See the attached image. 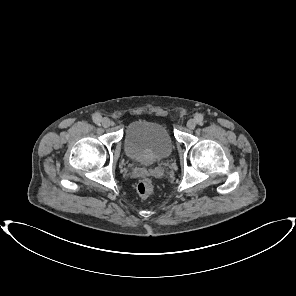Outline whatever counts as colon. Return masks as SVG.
Wrapping results in <instances>:
<instances>
[{"instance_id": "colon-1", "label": "colon", "mask_w": 296, "mask_h": 296, "mask_svg": "<svg viewBox=\"0 0 296 296\" xmlns=\"http://www.w3.org/2000/svg\"><path fill=\"white\" fill-rule=\"evenodd\" d=\"M138 193L143 197H149L154 192V183L149 178H144L139 181L137 186Z\"/></svg>"}]
</instances>
